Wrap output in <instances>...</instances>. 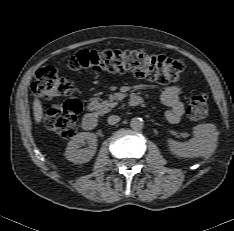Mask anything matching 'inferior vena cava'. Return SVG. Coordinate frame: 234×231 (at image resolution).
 Wrapping results in <instances>:
<instances>
[{"label":"inferior vena cava","mask_w":234,"mask_h":231,"mask_svg":"<svg viewBox=\"0 0 234 231\" xmlns=\"http://www.w3.org/2000/svg\"><path fill=\"white\" fill-rule=\"evenodd\" d=\"M119 121H120V117L119 116L111 115V116L108 117V123L110 125H115Z\"/></svg>","instance_id":"inferior-vena-cava-1"}]
</instances>
